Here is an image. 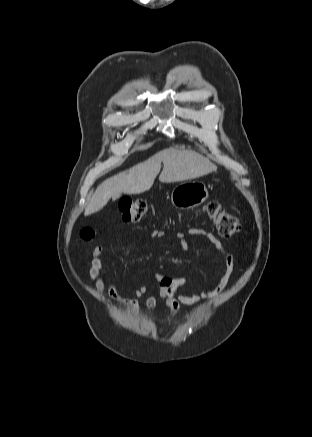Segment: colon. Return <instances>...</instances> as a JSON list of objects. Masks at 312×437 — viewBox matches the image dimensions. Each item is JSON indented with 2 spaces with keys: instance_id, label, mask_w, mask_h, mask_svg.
Here are the masks:
<instances>
[{
  "instance_id": "1",
  "label": "colon",
  "mask_w": 312,
  "mask_h": 437,
  "mask_svg": "<svg viewBox=\"0 0 312 437\" xmlns=\"http://www.w3.org/2000/svg\"><path fill=\"white\" fill-rule=\"evenodd\" d=\"M119 210L125 222H137L145 215L147 203L144 199L123 197L119 201ZM205 211L222 237H232L241 230L239 220L219 202L208 203L205 206ZM93 235L94 231L90 228H85L80 233L81 238L84 240H90Z\"/></svg>"
}]
</instances>
